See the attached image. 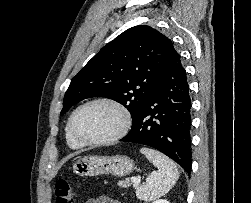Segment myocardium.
<instances>
[{
  "mask_svg": "<svg viewBox=\"0 0 251 203\" xmlns=\"http://www.w3.org/2000/svg\"><path fill=\"white\" fill-rule=\"evenodd\" d=\"M95 104H105L109 105L113 108H115L121 115L122 121L120 127L117 129L115 133L112 135L102 138V139H97V140H89V139H84L80 137L75 129H74V121L77 116V114L84 108L95 105ZM132 125V116L128 108L120 103L119 101H116L111 98L107 97H100V98H95L91 99L89 101L84 102L83 104L79 105L71 114L69 121H68V129L71 134V136L80 144L82 145H94V146H100V145H107L114 143L121 138H123L130 130Z\"/></svg>",
  "mask_w": 251,
  "mask_h": 203,
  "instance_id": "myocardium-1",
  "label": "myocardium"
}]
</instances>
